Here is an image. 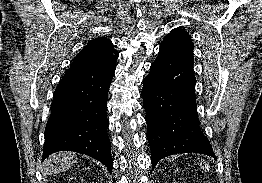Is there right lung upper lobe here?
Listing matches in <instances>:
<instances>
[{
    "instance_id": "cb5924a9",
    "label": "right lung upper lobe",
    "mask_w": 262,
    "mask_h": 183,
    "mask_svg": "<svg viewBox=\"0 0 262 183\" xmlns=\"http://www.w3.org/2000/svg\"><path fill=\"white\" fill-rule=\"evenodd\" d=\"M118 54L112 42L105 38H96L88 44L74 58L70 68H100L109 67L116 63Z\"/></svg>"
}]
</instances>
